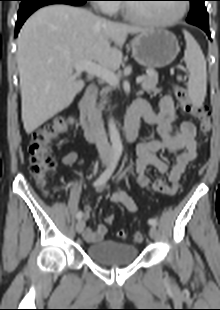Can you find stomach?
<instances>
[{"instance_id":"obj_1","label":"stomach","mask_w":220,"mask_h":310,"mask_svg":"<svg viewBox=\"0 0 220 310\" xmlns=\"http://www.w3.org/2000/svg\"><path fill=\"white\" fill-rule=\"evenodd\" d=\"M131 46L134 59L149 69L171 64L180 50L175 35L164 29L139 33L132 40Z\"/></svg>"}]
</instances>
